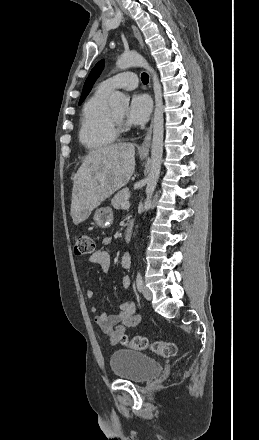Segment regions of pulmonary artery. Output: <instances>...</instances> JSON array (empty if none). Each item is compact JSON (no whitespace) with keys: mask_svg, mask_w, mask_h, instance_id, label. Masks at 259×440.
I'll return each mask as SVG.
<instances>
[{"mask_svg":"<svg viewBox=\"0 0 259 440\" xmlns=\"http://www.w3.org/2000/svg\"><path fill=\"white\" fill-rule=\"evenodd\" d=\"M138 85V77L133 72H123L107 78L99 84V89L111 92L115 89L122 88L126 90L135 89Z\"/></svg>","mask_w":259,"mask_h":440,"instance_id":"obj_1","label":"pulmonary artery"}]
</instances>
